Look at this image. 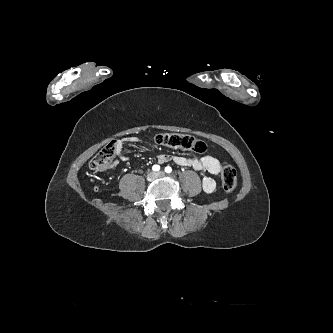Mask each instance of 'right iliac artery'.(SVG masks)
Segmentation results:
<instances>
[{"label": "right iliac artery", "instance_id": "obj_1", "mask_svg": "<svg viewBox=\"0 0 333 333\" xmlns=\"http://www.w3.org/2000/svg\"><path fill=\"white\" fill-rule=\"evenodd\" d=\"M152 170L155 171V172H157V171L160 170V166L157 165V164H156V165H153Z\"/></svg>", "mask_w": 333, "mask_h": 333}]
</instances>
